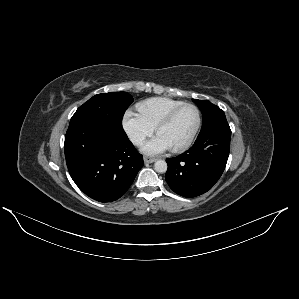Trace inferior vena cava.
Masks as SVG:
<instances>
[{
	"label": "inferior vena cava",
	"mask_w": 299,
	"mask_h": 299,
	"mask_svg": "<svg viewBox=\"0 0 299 299\" xmlns=\"http://www.w3.org/2000/svg\"><path fill=\"white\" fill-rule=\"evenodd\" d=\"M140 140H141L140 138H136V139H135V142H138V141H140Z\"/></svg>",
	"instance_id": "obj_1"
}]
</instances>
